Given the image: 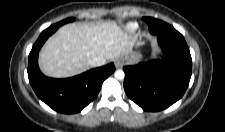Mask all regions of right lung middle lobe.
Masks as SVG:
<instances>
[{
	"instance_id": "obj_1",
	"label": "right lung middle lobe",
	"mask_w": 225,
	"mask_h": 132,
	"mask_svg": "<svg viewBox=\"0 0 225 132\" xmlns=\"http://www.w3.org/2000/svg\"><path fill=\"white\" fill-rule=\"evenodd\" d=\"M74 20H75V18H67V19L57 23L56 25L61 26V25L65 24V23L72 22Z\"/></svg>"
}]
</instances>
